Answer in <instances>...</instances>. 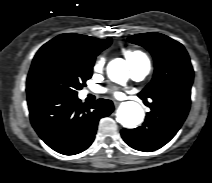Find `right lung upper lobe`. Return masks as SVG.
<instances>
[{
    "mask_svg": "<svg viewBox=\"0 0 212 183\" xmlns=\"http://www.w3.org/2000/svg\"><path fill=\"white\" fill-rule=\"evenodd\" d=\"M110 44L111 38L97 39L86 35L65 33L50 40L41 48L51 45H61L81 55L93 56L98 55L99 52L106 49Z\"/></svg>",
    "mask_w": 212,
    "mask_h": 183,
    "instance_id": "cb5924a9",
    "label": "right lung upper lobe"
}]
</instances>
